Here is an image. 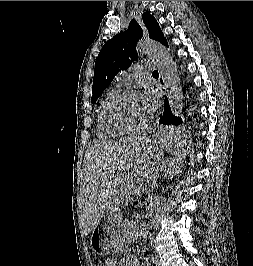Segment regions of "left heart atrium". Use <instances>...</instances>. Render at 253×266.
Returning a JSON list of instances; mask_svg holds the SVG:
<instances>
[{"instance_id":"left-heart-atrium-1","label":"left heart atrium","mask_w":253,"mask_h":266,"mask_svg":"<svg viewBox=\"0 0 253 266\" xmlns=\"http://www.w3.org/2000/svg\"><path fill=\"white\" fill-rule=\"evenodd\" d=\"M140 96L146 109L147 115H151L152 113H154L159 105V99L157 94L147 88L142 92Z\"/></svg>"}]
</instances>
